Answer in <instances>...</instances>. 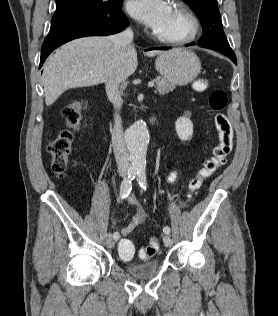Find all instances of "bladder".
<instances>
[{
	"label": "bladder",
	"mask_w": 278,
	"mask_h": 316,
	"mask_svg": "<svg viewBox=\"0 0 278 316\" xmlns=\"http://www.w3.org/2000/svg\"><path fill=\"white\" fill-rule=\"evenodd\" d=\"M160 267L157 259H152L142 263H129L125 265L126 271L136 278H147L154 275Z\"/></svg>",
	"instance_id": "1"
}]
</instances>
